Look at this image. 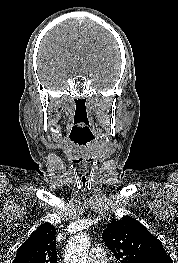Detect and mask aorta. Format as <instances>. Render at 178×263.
Instances as JSON below:
<instances>
[{
  "label": "aorta",
  "instance_id": "aorta-1",
  "mask_svg": "<svg viewBox=\"0 0 178 263\" xmlns=\"http://www.w3.org/2000/svg\"><path fill=\"white\" fill-rule=\"evenodd\" d=\"M90 239L86 234L79 233L72 237L65 250V263H88Z\"/></svg>",
  "mask_w": 178,
  "mask_h": 263
}]
</instances>
